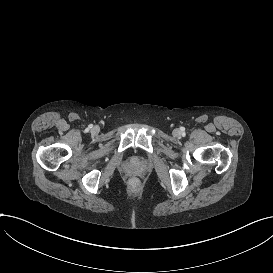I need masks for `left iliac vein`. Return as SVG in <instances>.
Returning <instances> with one entry per match:
<instances>
[{"instance_id": "obj_1", "label": "left iliac vein", "mask_w": 273, "mask_h": 273, "mask_svg": "<svg viewBox=\"0 0 273 273\" xmlns=\"http://www.w3.org/2000/svg\"><path fill=\"white\" fill-rule=\"evenodd\" d=\"M172 134H173V136H175V137H180V135H181L179 129H174L173 132H172Z\"/></svg>"}]
</instances>
